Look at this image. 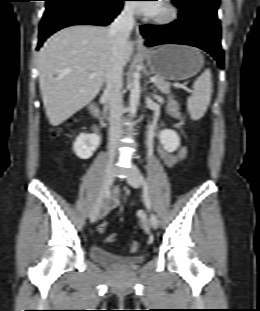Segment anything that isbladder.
Here are the masks:
<instances>
[{
    "label": "bladder",
    "instance_id": "1",
    "mask_svg": "<svg viewBox=\"0 0 260 311\" xmlns=\"http://www.w3.org/2000/svg\"><path fill=\"white\" fill-rule=\"evenodd\" d=\"M89 254L93 261L108 267H133L141 264L144 260V257L141 255L120 256L100 246H91Z\"/></svg>",
    "mask_w": 260,
    "mask_h": 311
}]
</instances>
